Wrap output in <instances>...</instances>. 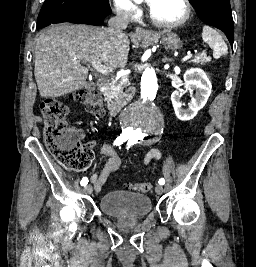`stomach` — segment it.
Here are the masks:
<instances>
[{"label": "stomach", "mask_w": 256, "mask_h": 267, "mask_svg": "<svg viewBox=\"0 0 256 267\" xmlns=\"http://www.w3.org/2000/svg\"><path fill=\"white\" fill-rule=\"evenodd\" d=\"M150 34V38H147L148 42H150V40H155V42L156 40H160L161 44H163L165 48H168V50H179L182 46L179 36L171 32V30H162V32H157V34L150 32ZM138 40H140V38H138Z\"/></svg>", "instance_id": "0dacf381"}]
</instances>
